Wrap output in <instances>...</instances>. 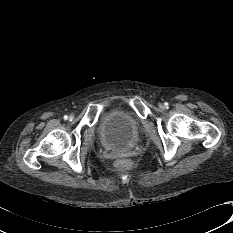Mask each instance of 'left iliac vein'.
<instances>
[{"mask_svg":"<svg viewBox=\"0 0 233 233\" xmlns=\"http://www.w3.org/2000/svg\"><path fill=\"white\" fill-rule=\"evenodd\" d=\"M159 108H160V109H164V108H165L164 104L160 103V104H159Z\"/></svg>","mask_w":233,"mask_h":233,"instance_id":"1","label":"left iliac vein"}]
</instances>
